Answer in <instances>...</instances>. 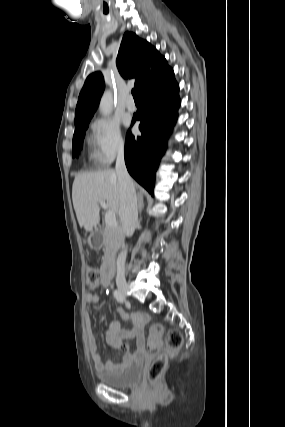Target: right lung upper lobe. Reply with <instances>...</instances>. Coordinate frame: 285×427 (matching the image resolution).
Returning a JSON list of instances; mask_svg holds the SVG:
<instances>
[{"mask_svg":"<svg viewBox=\"0 0 285 427\" xmlns=\"http://www.w3.org/2000/svg\"><path fill=\"white\" fill-rule=\"evenodd\" d=\"M116 63L124 78H136L139 91L169 68L166 59L153 46L132 32L124 34ZM104 88L101 72L87 77L76 106L75 129L90 122Z\"/></svg>","mask_w":285,"mask_h":427,"instance_id":"1","label":"right lung upper lobe"}]
</instances>
